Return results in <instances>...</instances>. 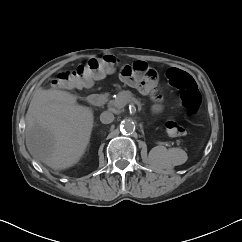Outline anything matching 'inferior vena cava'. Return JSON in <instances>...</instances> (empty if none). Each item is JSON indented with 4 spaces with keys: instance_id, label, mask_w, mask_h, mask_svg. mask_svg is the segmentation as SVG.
<instances>
[{
    "instance_id": "1",
    "label": "inferior vena cava",
    "mask_w": 242,
    "mask_h": 242,
    "mask_svg": "<svg viewBox=\"0 0 242 242\" xmlns=\"http://www.w3.org/2000/svg\"><path fill=\"white\" fill-rule=\"evenodd\" d=\"M100 121L103 124H109L112 123L114 121V115L113 113L109 112V111H104L103 113H101L100 115Z\"/></svg>"
}]
</instances>
